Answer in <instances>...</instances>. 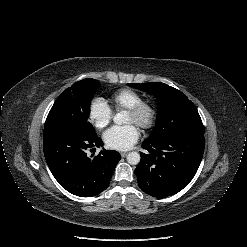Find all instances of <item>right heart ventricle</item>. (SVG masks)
<instances>
[{
	"instance_id": "1",
	"label": "right heart ventricle",
	"mask_w": 247,
	"mask_h": 247,
	"mask_svg": "<svg viewBox=\"0 0 247 247\" xmlns=\"http://www.w3.org/2000/svg\"><path fill=\"white\" fill-rule=\"evenodd\" d=\"M141 100V94L129 88L117 90L110 96L111 105L115 109L129 108Z\"/></svg>"
}]
</instances>
